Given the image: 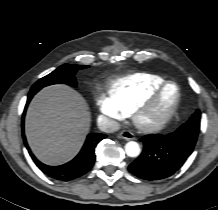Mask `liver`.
<instances>
[{"instance_id": "obj_1", "label": "liver", "mask_w": 218, "mask_h": 210, "mask_svg": "<svg viewBox=\"0 0 218 210\" xmlns=\"http://www.w3.org/2000/svg\"><path fill=\"white\" fill-rule=\"evenodd\" d=\"M90 121L89 107L78 92L66 85L45 87L28 107L27 141L40 161L59 165L79 152Z\"/></svg>"}]
</instances>
